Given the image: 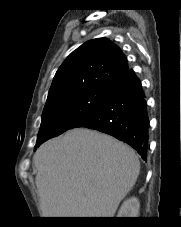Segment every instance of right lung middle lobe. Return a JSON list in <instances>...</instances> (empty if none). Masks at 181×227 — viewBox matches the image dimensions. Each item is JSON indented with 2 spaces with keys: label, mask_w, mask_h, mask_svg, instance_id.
Masks as SVG:
<instances>
[{
  "label": "right lung middle lobe",
  "mask_w": 181,
  "mask_h": 227,
  "mask_svg": "<svg viewBox=\"0 0 181 227\" xmlns=\"http://www.w3.org/2000/svg\"><path fill=\"white\" fill-rule=\"evenodd\" d=\"M110 88L59 98L44 107L35 148L46 140L77 127L104 104Z\"/></svg>",
  "instance_id": "right-lung-middle-lobe-1"
}]
</instances>
